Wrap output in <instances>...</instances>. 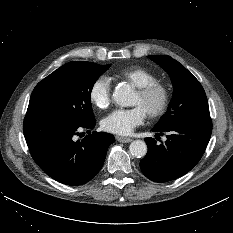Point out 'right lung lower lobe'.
<instances>
[{"instance_id": "obj_1", "label": "right lung lower lobe", "mask_w": 233, "mask_h": 233, "mask_svg": "<svg viewBox=\"0 0 233 233\" xmlns=\"http://www.w3.org/2000/svg\"><path fill=\"white\" fill-rule=\"evenodd\" d=\"M95 121L82 124L47 113L27 112L23 131L30 153L39 167L51 178L66 185L90 181L101 169L113 135L90 132L82 140L75 135L91 129Z\"/></svg>"}]
</instances>
